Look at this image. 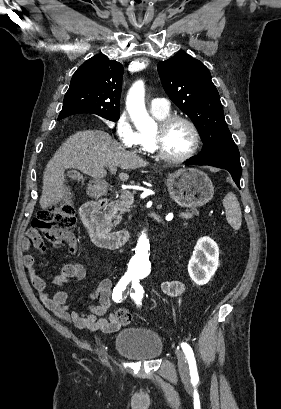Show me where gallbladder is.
I'll return each instance as SVG.
<instances>
[{
  "mask_svg": "<svg viewBox=\"0 0 281 409\" xmlns=\"http://www.w3.org/2000/svg\"><path fill=\"white\" fill-rule=\"evenodd\" d=\"M69 176H71V178H76V176H81V174L80 172H76V170H70Z\"/></svg>",
  "mask_w": 281,
  "mask_h": 409,
  "instance_id": "1",
  "label": "gallbladder"
}]
</instances>
